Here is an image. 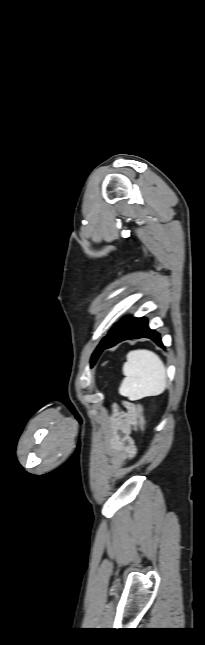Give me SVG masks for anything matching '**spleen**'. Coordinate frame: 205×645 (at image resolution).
<instances>
[{
	"label": "spleen",
	"instance_id": "1",
	"mask_svg": "<svg viewBox=\"0 0 205 645\" xmlns=\"http://www.w3.org/2000/svg\"><path fill=\"white\" fill-rule=\"evenodd\" d=\"M126 358L121 395L130 400H138L164 392L167 386L166 368L157 354L149 350H134Z\"/></svg>",
	"mask_w": 205,
	"mask_h": 645
}]
</instances>
